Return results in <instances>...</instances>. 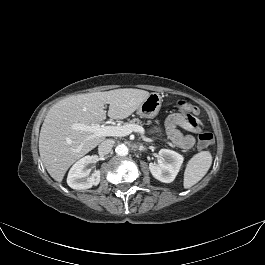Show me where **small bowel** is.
<instances>
[{"label": "small bowel", "instance_id": "obj_1", "mask_svg": "<svg viewBox=\"0 0 265 265\" xmlns=\"http://www.w3.org/2000/svg\"><path fill=\"white\" fill-rule=\"evenodd\" d=\"M197 133L202 130L201 122L194 116L186 113H175L170 115L165 123V131L168 138L177 147L189 150L194 145V137L183 134L178 128Z\"/></svg>", "mask_w": 265, "mask_h": 265}]
</instances>
